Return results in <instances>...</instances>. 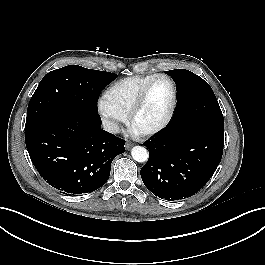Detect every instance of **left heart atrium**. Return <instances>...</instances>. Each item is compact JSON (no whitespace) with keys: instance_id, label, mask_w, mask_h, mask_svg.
<instances>
[{"instance_id":"1","label":"left heart atrium","mask_w":265,"mask_h":265,"mask_svg":"<svg viewBox=\"0 0 265 265\" xmlns=\"http://www.w3.org/2000/svg\"><path fill=\"white\" fill-rule=\"evenodd\" d=\"M135 132H138V130L134 129Z\"/></svg>"}]
</instances>
